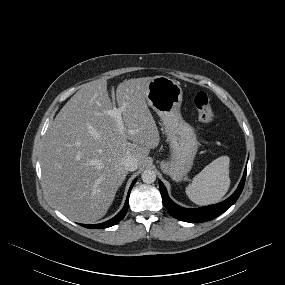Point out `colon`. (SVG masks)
I'll use <instances>...</instances> for the list:
<instances>
[{"mask_svg": "<svg viewBox=\"0 0 285 285\" xmlns=\"http://www.w3.org/2000/svg\"><path fill=\"white\" fill-rule=\"evenodd\" d=\"M194 106L198 120L204 124H211L215 119L214 104L204 91H197L194 96Z\"/></svg>", "mask_w": 285, "mask_h": 285, "instance_id": "colon-1", "label": "colon"}]
</instances>
